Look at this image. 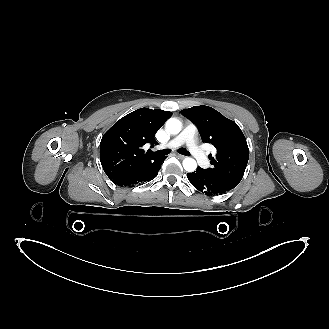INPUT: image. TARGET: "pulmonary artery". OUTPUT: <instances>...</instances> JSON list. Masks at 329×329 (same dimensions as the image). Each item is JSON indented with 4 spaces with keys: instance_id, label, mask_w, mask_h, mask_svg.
I'll return each mask as SVG.
<instances>
[{
    "instance_id": "1",
    "label": "pulmonary artery",
    "mask_w": 329,
    "mask_h": 329,
    "mask_svg": "<svg viewBox=\"0 0 329 329\" xmlns=\"http://www.w3.org/2000/svg\"><path fill=\"white\" fill-rule=\"evenodd\" d=\"M182 144L186 145L188 151L196 159L200 167H208L209 161L197 142V128L194 124H188L178 136L166 144V147L177 148Z\"/></svg>"
}]
</instances>
